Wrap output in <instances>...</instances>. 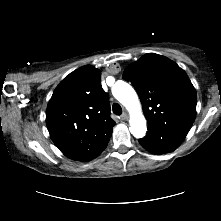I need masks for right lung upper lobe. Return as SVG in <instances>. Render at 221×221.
I'll list each match as a JSON object with an SVG mask.
<instances>
[{
	"mask_svg": "<svg viewBox=\"0 0 221 221\" xmlns=\"http://www.w3.org/2000/svg\"><path fill=\"white\" fill-rule=\"evenodd\" d=\"M46 124L57 148L73 160H87L108 141L116 123L100 70L84 66L61 81L48 103Z\"/></svg>",
	"mask_w": 221,
	"mask_h": 221,
	"instance_id": "1",
	"label": "right lung upper lobe"
}]
</instances>
